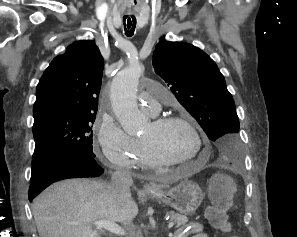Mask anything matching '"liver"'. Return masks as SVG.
Listing matches in <instances>:
<instances>
[{
    "mask_svg": "<svg viewBox=\"0 0 297 237\" xmlns=\"http://www.w3.org/2000/svg\"><path fill=\"white\" fill-rule=\"evenodd\" d=\"M138 206L131 194L116 198L111 184L68 179L51 185L33 202L32 212L40 237H101L91 223L99 220L132 221Z\"/></svg>",
    "mask_w": 297,
    "mask_h": 237,
    "instance_id": "1",
    "label": "liver"
}]
</instances>
